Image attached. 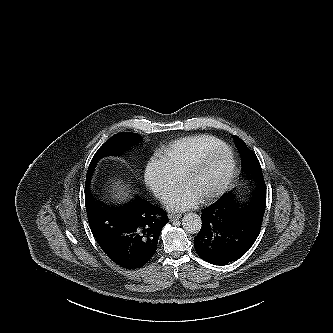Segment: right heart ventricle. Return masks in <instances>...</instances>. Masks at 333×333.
<instances>
[{"label":"right heart ventricle","mask_w":333,"mask_h":333,"mask_svg":"<svg viewBox=\"0 0 333 333\" xmlns=\"http://www.w3.org/2000/svg\"><path fill=\"white\" fill-rule=\"evenodd\" d=\"M225 144L211 135H195L175 140L161 150V156L178 177L202 154Z\"/></svg>","instance_id":"right-heart-ventricle-1"}]
</instances>
